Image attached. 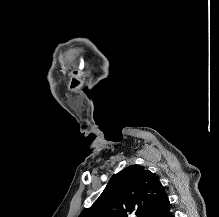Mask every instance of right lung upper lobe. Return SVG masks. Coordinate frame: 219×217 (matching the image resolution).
<instances>
[{
  "label": "right lung upper lobe",
  "instance_id": "cb5924a9",
  "mask_svg": "<svg viewBox=\"0 0 219 217\" xmlns=\"http://www.w3.org/2000/svg\"><path fill=\"white\" fill-rule=\"evenodd\" d=\"M169 204L158 177L143 166L132 165L113 175L79 217H163Z\"/></svg>",
  "mask_w": 219,
  "mask_h": 217
}]
</instances>
